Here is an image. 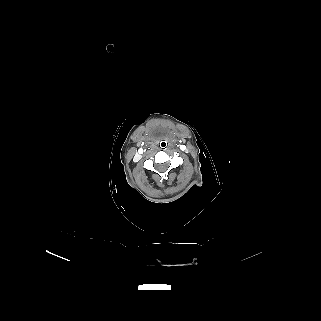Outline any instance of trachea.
<instances>
[{"instance_id": "3493384b", "label": "trachea", "mask_w": 321, "mask_h": 321, "mask_svg": "<svg viewBox=\"0 0 321 321\" xmlns=\"http://www.w3.org/2000/svg\"><path fill=\"white\" fill-rule=\"evenodd\" d=\"M159 145H160V147H161L162 149H165V148L167 147V144H166V142H165L164 140H161V141L159 142Z\"/></svg>"}]
</instances>
